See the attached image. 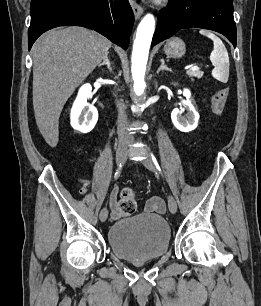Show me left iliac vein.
I'll list each match as a JSON object with an SVG mask.
<instances>
[{
	"instance_id": "obj_1",
	"label": "left iliac vein",
	"mask_w": 261,
	"mask_h": 306,
	"mask_svg": "<svg viewBox=\"0 0 261 306\" xmlns=\"http://www.w3.org/2000/svg\"><path fill=\"white\" fill-rule=\"evenodd\" d=\"M142 164H143L147 169H149V170L155 172L156 174H158V173H157V169H156V167H155L153 161H152L150 158L144 159V160L142 161ZM167 199H168V207H169L170 212H171L172 214H175L176 211H177V203H176L174 197H173L172 195L169 194L168 197H167Z\"/></svg>"
}]
</instances>
